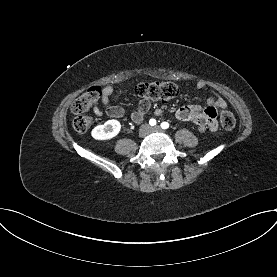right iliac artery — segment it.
I'll return each mask as SVG.
<instances>
[{
    "instance_id": "1",
    "label": "right iliac artery",
    "mask_w": 277,
    "mask_h": 277,
    "mask_svg": "<svg viewBox=\"0 0 277 277\" xmlns=\"http://www.w3.org/2000/svg\"><path fill=\"white\" fill-rule=\"evenodd\" d=\"M149 124L151 126H154L156 124V120L155 119H150Z\"/></svg>"
}]
</instances>
